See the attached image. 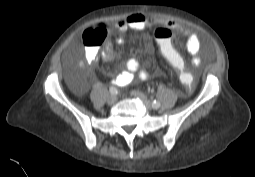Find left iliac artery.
<instances>
[{
    "mask_svg": "<svg viewBox=\"0 0 255 177\" xmlns=\"http://www.w3.org/2000/svg\"><path fill=\"white\" fill-rule=\"evenodd\" d=\"M152 106H153L155 109H157V108H159V107H160V102H159V101L154 100V101H152Z\"/></svg>",
    "mask_w": 255,
    "mask_h": 177,
    "instance_id": "1",
    "label": "left iliac artery"
}]
</instances>
